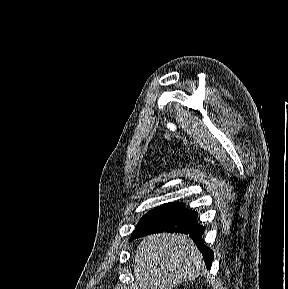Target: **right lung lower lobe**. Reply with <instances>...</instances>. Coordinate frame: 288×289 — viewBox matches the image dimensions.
Instances as JSON below:
<instances>
[{
  "label": "right lung lower lobe",
  "mask_w": 288,
  "mask_h": 289,
  "mask_svg": "<svg viewBox=\"0 0 288 289\" xmlns=\"http://www.w3.org/2000/svg\"><path fill=\"white\" fill-rule=\"evenodd\" d=\"M197 216V212L185 208L183 203H178L171 210L133 235L130 240L164 231L189 234L201 251L207 268H210L214 257L213 251L202 242L204 227L198 224Z\"/></svg>",
  "instance_id": "98d812e1"
}]
</instances>
